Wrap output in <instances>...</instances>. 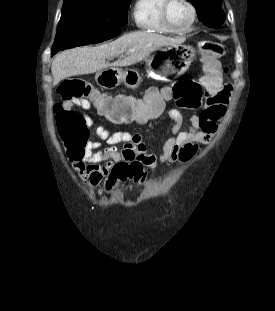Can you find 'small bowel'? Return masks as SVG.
Returning <instances> with one entry per match:
<instances>
[{"label": "small bowel", "instance_id": "c3829d8e", "mask_svg": "<svg viewBox=\"0 0 275 311\" xmlns=\"http://www.w3.org/2000/svg\"><path fill=\"white\" fill-rule=\"evenodd\" d=\"M202 82L208 94L207 99L204 106L200 108V114L189 118L186 128H183L184 116L181 109L184 112H195V105H178V108L168 111V118L173 125L170 128L171 136L164 142L160 156L148 152V140L139 133L109 132L98 127L95 132L106 145L103 146L99 141H92L78 156L71 158V168L78 173L83 184L88 188L96 187L103 179L110 176L118 163L139 162L152 169L160 164L170 165L178 159L185 143L203 141L213 135L217 122L225 114L233 87L230 84H223L219 72L206 76ZM74 105L83 109L91 107L90 103L73 104L72 102H65L63 107L70 109ZM84 117L86 123L91 124L90 119L86 115Z\"/></svg>", "mask_w": 275, "mask_h": 311}]
</instances>
